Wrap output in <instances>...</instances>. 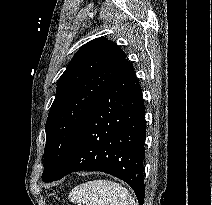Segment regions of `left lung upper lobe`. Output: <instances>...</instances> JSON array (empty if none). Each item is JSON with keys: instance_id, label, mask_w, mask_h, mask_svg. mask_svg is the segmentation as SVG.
<instances>
[{"instance_id": "left-lung-upper-lobe-1", "label": "left lung upper lobe", "mask_w": 212, "mask_h": 205, "mask_svg": "<svg viewBox=\"0 0 212 205\" xmlns=\"http://www.w3.org/2000/svg\"><path fill=\"white\" fill-rule=\"evenodd\" d=\"M124 58L121 48L101 37L83 45L68 64L58 80L45 126L44 182L54 181L58 176L88 114Z\"/></svg>"}]
</instances>
